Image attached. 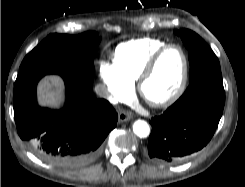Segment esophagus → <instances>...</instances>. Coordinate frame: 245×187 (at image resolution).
I'll list each match as a JSON object with an SVG mask.
<instances>
[{
    "mask_svg": "<svg viewBox=\"0 0 245 187\" xmlns=\"http://www.w3.org/2000/svg\"><path fill=\"white\" fill-rule=\"evenodd\" d=\"M131 118H132L131 113L126 112V111H121V112H119V114H118L119 122H127V121H129Z\"/></svg>",
    "mask_w": 245,
    "mask_h": 187,
    "instance_id": "1",
    "label": "esophagus"
}]
</instances>
